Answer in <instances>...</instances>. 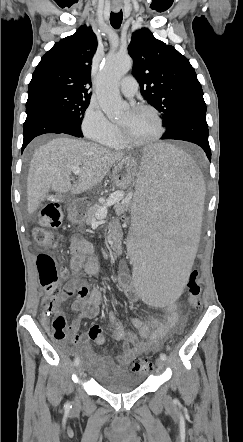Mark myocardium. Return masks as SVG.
Returning a JSON list of instances; mask_svg holds the SVG:
<instances>
[{
    "label": "myocardium",
    "instance_id": "f54148a6",
    "mask_svg": "<svg viewBox=\"0 0 243 442\" xmlns=\"http://www.w3.org/2000/svg\"><path fill=\"white\" fill-rule=\"evenodd\" d=\"M131 110L135 113L143 112V111L152 112L157 120L158 131L150 139L142 140V141H134L128 137L125 129L121 125H119L118 130H119V136H120L122 143L128 147H144V146L151 145V144L157 142L163 136L164 131H165L164 122H163V119L160 115V112L155 107H153L151 105H146V104H140V105L133 106L131 108Z\"/></svg>",
    "mask_w": 243,
    "mask_h": 442
}]
</instances>
